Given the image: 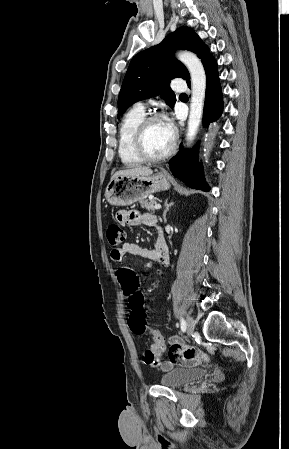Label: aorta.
I'll return each instance as SVG.
<instances>
[{"label":"aorta","instance_id":"aorta-1","mask_svg":"<svg viewBox=\"0 0 289 449\" xmlns=\"http://www.w3.org/2000/svg\"><path fill=\"white\" fill-rule=\"evenodd\" d=\"M178 59L187 67L191 77V103L188 119L187 141L190 143L195 138L202 119L206 74L200 59L189 51H181Z\"/></svg>","mask_w":289,"mask_h":449}]
</instances>
